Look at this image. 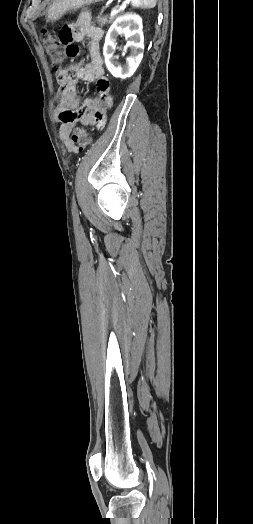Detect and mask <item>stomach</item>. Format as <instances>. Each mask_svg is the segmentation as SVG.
Segmentation results:
<instances>
[{
  "mask_svg": "<svg viewBox=\"0 0 253 524\" xmlns=\"http://www.w3.org/2000/svg\"><path fill=\"white\" fill-rule=\"evenodd\" d=\"M103 0H51L45 11L47 22L54 23L66 13Z\"/></svg>",
  "mask_w": 253,
  "mask_h": 524,
  "instance_id": "stomach-1",
  "label": "stomach"
}]
</instances>
